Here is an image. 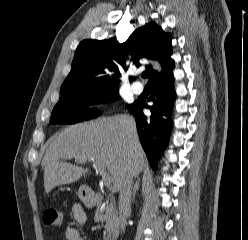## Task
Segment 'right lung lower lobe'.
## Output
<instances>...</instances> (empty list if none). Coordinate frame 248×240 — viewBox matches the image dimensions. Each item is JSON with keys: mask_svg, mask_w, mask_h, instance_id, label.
<instances>
[{"mask_svg": "<svg viewBox=\"0 0 248 240\" xmlns=\"http://www.w3.org/2000/svg\"><path fill=\"white\" fill-rule=\"evenodd\" d=\"M173 84V74L158 79L152 83V93L149 98L153 102L152 106L137 100L127 107L136 118L140 142L152 167H155L157 160L164 152L171 132L170 115L176 98ZM144 108L150 109L149 117L143 114ZM162 116H167V119Z\"/></svg>", "mask_w": 248, "mask_h": 240, "instance_id": "right-lung-lower-lobe-1", "label": "right lung lower lobe"}]
</instances>
